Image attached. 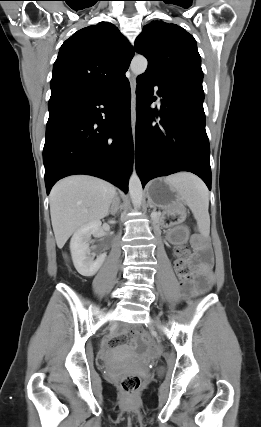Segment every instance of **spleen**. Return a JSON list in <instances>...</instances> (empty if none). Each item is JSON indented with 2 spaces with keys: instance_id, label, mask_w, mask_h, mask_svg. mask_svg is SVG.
<instances>
[{
  "instance_id": "1",
  "label": "spleen",
  "mask_w": 261,
  "mask_h": 427,
  "mask_svg": "<svg viewBox=\"0 0 261 427\" xmlns=\"http://www.w3.org/2000/svg\"><path fill=\"white\" fill-rule=\"evenodd\" d=\"M166 181L177 189L192 211L199 231L207 236L210 232L209 193L204 182L190 173H178L167 177Z\"/></svg>"
}]
</instances>
